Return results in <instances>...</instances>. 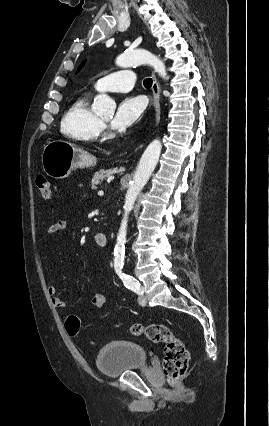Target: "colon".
<instances>
[{"label": "colon", "mask_w": 269, "mask_h": 426, "mask_svg": "<svg viewBox=\"0 0 269 426\" xmlns=\"http://www.w3.org/2000/svg\"><path fill=\"white\" fill-rule=\"evenodd\" d=\"M36 184L41 197L45 200H51L53 190L48 178L39 174L36 178ZM66 329L71 336L78 334L80 321L76 315L67 317ZM129 330L135 336H144L151 342L165 345L163 371L169 384L175 386L188 369L190 356L184 342L164 324H133Z\"/></svg>", "instance_id": "obj_1"}]
</instances>
